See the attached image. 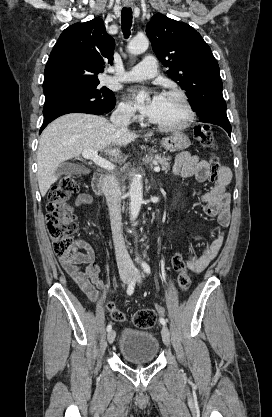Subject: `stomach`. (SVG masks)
Masks as SVG:
<instances>
[{
	"instance_id": "1",
	"label": "stomach",
	"mask_w": 272,
	"mask_h": 417,
	"mask_svg": "<svg viewBox=\"0 0 272 417\" xmlns=\"http://www.w3.org/2000/svg\"><path fill=\"white\" fill-rule=\"evenodd\" d=\"M189 138L181 132H173L171 135L165 137L161 141V145L167 151H181L190 146Z\"/></svg>"
}]
</instances>
